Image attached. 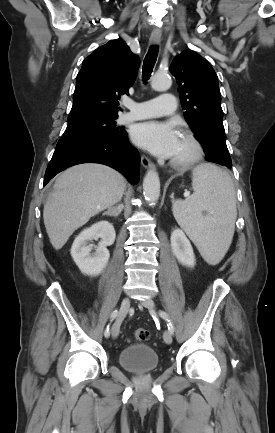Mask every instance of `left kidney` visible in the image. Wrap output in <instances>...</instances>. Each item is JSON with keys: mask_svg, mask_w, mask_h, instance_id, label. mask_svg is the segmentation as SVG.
I'll list each match as a JSON object with an SVG mask.
<instances>
[{"mask_svg": "<svg viewBox=\"0 0 275 433\" xmlns=\"http://www.w3.org/2000/svg\"><path fill=\"white\" fill-rule=\"evenodd\" d=\"M171 248L181 264L189 267L195 265V256L191 243L179 228L175 229L171 234Z\"/></svg>", "mask_w": 275, "mask_h": 433, "instance_id": "5707ae66", "label": "left kidney"}]
</instances>
